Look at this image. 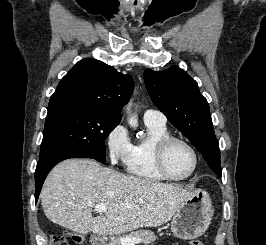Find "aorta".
Returning <instances> with one entry per match:
<instances>
[{"label": "aorta", "instance_id": "1", "mask_svg": "<svg viewBox=\"0 0 266 245\" xmlns=\"http://www.w3.org/2000/svg\"><path fill=\"white\" fill-rule=\"evenodd\" d=\"M127 112H130L132 108V102H128L126 104ZM128 123L132 129H135V127H138V118L137 116H133V114H128Z\"/></svg>", "mask_w": 266, "mask_h": 245}]
</instances>
